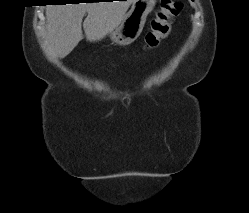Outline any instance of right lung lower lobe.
<instances>
[{
  "mask_svg": "<svg viewBox=\"0 0 249 213\" xmlns=\"http://www.w3.org/2000/svg\"><path fill=\"white\" fill-rule=\"evenodd\" d=\"M94 1V0H93ZM54 2H58V3H65L66 1L64 0H56V1H54ZM93 3V2H92Z\"/></svg>",
  "mask_w": 249,
  "mask_h": 213,
  "instance_id": "98d812e1",
  "label": "right lung lower lobe"
}]
</instances>
